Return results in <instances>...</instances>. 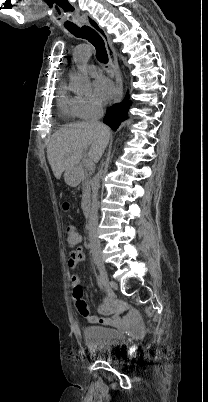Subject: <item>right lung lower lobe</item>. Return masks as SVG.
I'll list each match as a JSON object with an SVG mask.
<instances>
[{
	"instance_id": "obj_1",
	"label": "right lung lower lobe",
	"mask_w": 208,
	"mask_h": 402,
	"mask_svg": "<svg viewBox=\"0 0 208 402\" xmlns=\"http://www.w3.org/2000/svg\"><path fill=\"white\" fill-rule=\"evenodd\" d=\"M128 98L129 94L127 93L122 103L115 104L113 107L107 109L103 122L111 127L114 131L118 128L120 123L127 118L129 103H131V101H128Z\"/></svg>"
}]
</instances>
